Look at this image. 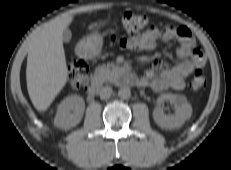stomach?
I'll return each mask as SVG.
<instances>
[{"mask_svg":"<svg viewBox=\"0 0 231 170\" xmlns=\"http://www.w3.org/2000/svg\"><path fill=\"white\" fill-rule=\"evenodd\" d=\"M103 45V37L98 33L88 35L79 43V49L87 58H93L97 56Z\"/></svg>","mask_w":231,"mask_h":170,"instance_id":"stomach-1","label":"stomach"}]
</instances>
